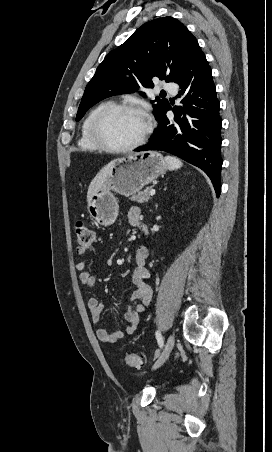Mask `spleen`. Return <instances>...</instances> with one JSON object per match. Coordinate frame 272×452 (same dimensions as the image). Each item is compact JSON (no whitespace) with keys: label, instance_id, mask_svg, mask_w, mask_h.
<instances>
[{"label":"spleen","instance_id":"obj_1","mask_svg":"<svg viewBox=\"0 0 272 452\" xmlns=\"http://www.w3.org/2000/svg\"><path fill=\"white\" fill-rule=\"evenodd\" d=\"M165 161L167 163L168 169L171 171L177 170V169L181 168L183 165L181 160L174 156H169V155L166 156Z\"/></svg>","mask_w":272,"mask_h":452}]
</instances>
